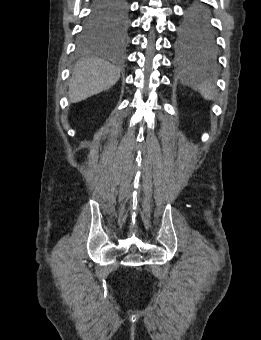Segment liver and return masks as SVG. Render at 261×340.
<instances>
[{
	"label": "liver",
	"instance_id": "obj_1",
	"mask_svg": "<svg viewBox=\"0 0 261 340\" xmlns=\"http://www.w3.org/2000/svg\"><path fill=\"white\" fill-rule=\"evenodd\" d=\"M119 77L120 69L102 59L92 58L78 62L69 85L70 102H80L111 88Z\"/></svg>",
	"mask_w": 261,
	"mask_h": 340
}]
</instances>
